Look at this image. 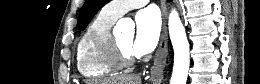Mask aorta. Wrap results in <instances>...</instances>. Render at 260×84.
Returning a JSON list of instances; mask_svg holds the SVG:
<instances>
[{"label": "aorta", "instance_id": "aorta-1", "mask_svg": "<svg viewBox=\"0 0 260 84\" xmlns=\"http://www.w3.org/2000/svg\"><path fill=\"white\" fill-rule=\"evenodd\" d=\"M118 27L129 34L134 31L132 23L120 20ZM169 35L174 49V66L170 84H186L190 58L189 43L178 12L172 9L168 19Z\"/></svg>", "mask_w": 260, "mask_h": 84}]
</instances>
